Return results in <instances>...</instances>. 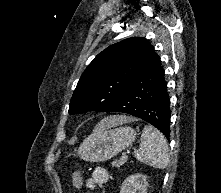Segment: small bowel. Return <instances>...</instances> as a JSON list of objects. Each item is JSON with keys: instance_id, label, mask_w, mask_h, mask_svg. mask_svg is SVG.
Masks as SVG:
<instances>
[{"instance_id": "small-bowel-1", "label": "small bowel", "mask_w": 221, "mask_h": 193, "mask_svg": "<svg viewBox=\"0 0 221 193\" xmlns=\"http://www.w3.org/2000/svg\"><path fill=\"white\" fill-rule=\"evenodd\" d=\"M108 172L103 168H97L85 181L87 188L94 190L97 186L103 185L108 181Z\"/></svg>"}]
</instances>
